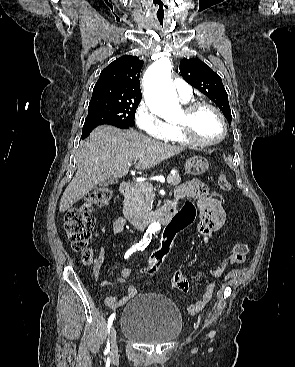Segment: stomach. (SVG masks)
Wrapping results in <instances>:
<instances>
[{
    "label": "stomach",
    "instance_id": "1",
    "mask_svg": "<svg viewBox=\"0 0 295 367\" xmlns=\"http://www.w3.org/2000/svg\"><path fill=\"white\" fill-rule=\"evenodd\" d=\"M209 168L208 160L201 156H194L186 160L185 171L191 175H200Z\"/></svg>",
    "mask_w": 295,
    "mask_h": 367
}]
</instances>
